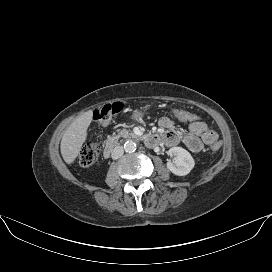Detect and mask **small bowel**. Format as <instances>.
<instances>
[{"label": "small bowel", "instance_id": "obj_1", "mask_svg": "<svg viewBox=\"0 0 272 272\" xmlns=\"http://www.w3.org/2000/svg\"><path fill=\"white\" fill-rule=\"evenodd\" d=\"M159 126L166 130L164 142L169 146H175L183 142L192 152H200L204 144H213L218 139V134L207 126L203 121H191L188 124V130L184 134L174 129V121L169 117L159 119Z\"/></svg>", "mask_w": 272, "mask_h": 272}]
</instances>
